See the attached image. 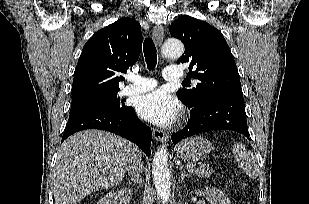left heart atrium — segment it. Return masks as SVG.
Wrapping results in <instances>:
<instances>
[{
    "instance_id": "obj_1",
    "label": "left heart atrium",
    "mask_w": 309,
    "mask_h": 204,
    "mask_svg": "<svg viewBox=\"0 0 309 204\" xmlns=\"http://www.w3.org/2000/svg\"><path fill=\"white\" fill-rule=\"evenodd\" d=\"M137 111L145 120L167 126L176 121L180 106L170 94L159 89L141 96L137 102Z\"/></svg>"
}]
</instances>
